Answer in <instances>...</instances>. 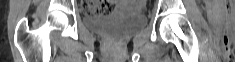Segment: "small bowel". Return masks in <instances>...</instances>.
Instances as JSON below:
<instances>
[{
  "label": "small bowel",
  "mask_w": 235,
  "mask_h": 62,
  "mask_svg": "<svg viewBox=\"0 0 235 62\" xmlns=\"http://www.w3.org/2000/svg\"><path fill=\"white\" fill-rule=\"evenodd\" d=\"M87 7L88 8L100 7L102 9L101 14H109L116 9V6L113 2H94V3H89Z\"/></svg>",
  "instance_id": "c3829d8e"
}]
</instances>
